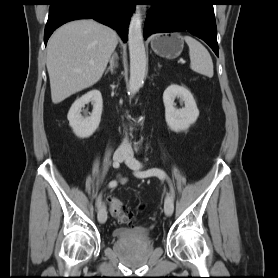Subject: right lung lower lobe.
<instances>
[{"label": "right lung lower lobe", "mask_w": 278, "mask_h": 278, "mask_svg": "<svg viewBox=\"0 0 278 278\" xmlns=\"http://www.w3.org/2000/svg\"><path fill=\"white\" fill-rule=\"evenodd\" d=\"M134 0H52L45 27L44 43L53 31L76 19H94L117 30L127 41L128 24L135 10Z\"/></svg>", "instance_id": "1"}]
</instances>
